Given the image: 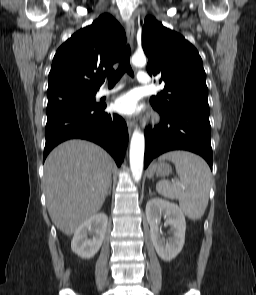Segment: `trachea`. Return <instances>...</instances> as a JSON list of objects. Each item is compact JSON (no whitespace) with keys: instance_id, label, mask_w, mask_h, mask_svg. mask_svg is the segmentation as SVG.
<instances>
[{"instance_id":"1","label":"trachea","mask_w":256,"mask_h":295,"mask_svg":"<svg viewBox=\"0 0 256 295\" xmlns=\"http://www.w3.org/2000/svg\"><path fill=\"white\" fill-rule=\"evenodd\" d=\"M127 72L131 77L134 76L130 65V46L127 45L123 51L119 67L115 73L108 77V81L110 85L116 84V82L121 78V76Z\"/></svg>"}]
</instances>
